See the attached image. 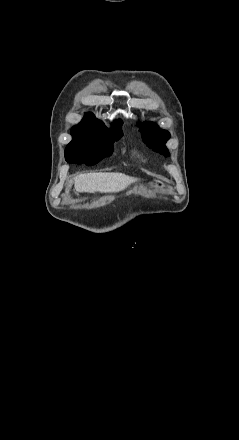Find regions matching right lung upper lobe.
Returning <instances> with one entry per match:
<instances>
[{"mask_svg":"<svg viewBox=\"0 0 239 440\" xmlns=\"http://www.w3.org/2000/svg\"><path fill=\"white\" fill-rule=\"evenodd\" d=\"M82 122H96V123L103 124L101 121L96 119V117L92 113L86 114L84 119L82 120ZM121 125H122V122L120 120H118L117 122L113 123L114 127H121Z\"/></svg>","mask_w":239,"mask_h":440,"instance_id":"cb5924a9","label":"right lung upper lobe"}]
</instances>
